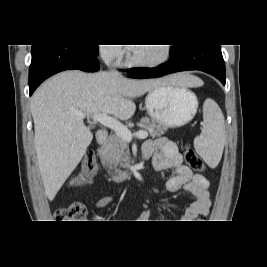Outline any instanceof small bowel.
Listing matches in <instances>:
<instances>
[{"mask_svg": "<svg viewBox=\"0 0 267 267\" xmlns=\"http://www.w3.org/2000/svg\"><path fill=\"white\" fill-rule=\"evenodd\" d=\"M142 155L146 159H151L156 171L172 170V176L166 183L165 191L174 193L181 189L186 190L195 198L192 205L186 209L182 216V222H190L197 215L206 213L210 207L209 181L193 171L183 163L182 155L179 153L174 142L167 138L147 140L142 147ZM79 184L78 178L74 181ZM112 201V197H102L98 207H105ZM151 212L143 211L138 217L140 222H152Z\"/></svg>", "mask_w": 267, "mask_h": 267, "instance_id": "1", "label": "small bowel"}]
</instances>
